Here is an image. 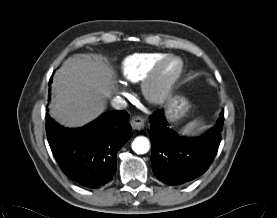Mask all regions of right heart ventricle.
I'll return each instance as SVG.
<instances>
[{
	"mask_svg": "<svg viewBox=\"0 0 277 218\" xmlns=\"http://www.w3.org/2000/svg\"><path fill=\"white\" fill-rule=\"evenodd\" d=\"M165 53H136L124 59L121 66L123 77L130 83H142L153 66Z\"/></svg>",
	"mask_w": 277,
	"mask_h": 218,
	"instance_id": "right-heart-ventricle-1",
	"label": "right heart ventricle"
}]
</instances>
